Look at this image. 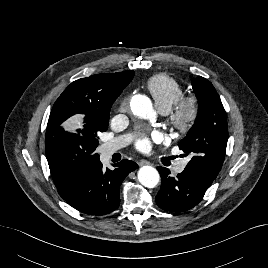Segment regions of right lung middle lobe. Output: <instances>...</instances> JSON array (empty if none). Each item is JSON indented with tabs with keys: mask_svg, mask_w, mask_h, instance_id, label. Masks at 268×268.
Wrapping results in <instances>:
<instances>
[{
	"mask_svg": "<svg viewBox=\"0 0 268 268\" xmlns=\"http://www.w3.org/2000/svg\"><path fill=\"white\" fill-rule=\"evenodd\" d=\"M65 119L62 105L54 104L47 125L45 151L53 179L73 184L99 160V154L95 152L97 135L108 129L109 119L90 122L77 133L58 128Z\"/></svg>",
	"mask_w": 268,
	"mask_h": 268,
	"instance_id": "obj_1",
	"label": "right lung middle lobe"
}]
</instances>
